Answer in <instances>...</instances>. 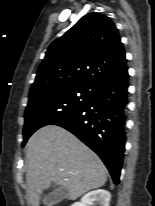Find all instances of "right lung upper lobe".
<instances>
[{
    "label": "right lung upper lobe",
    "instance_id": "1",
    "mask_svg": "<svg viewBox=\"0 0 155 206\" xmlns=\"http://www.w3.org/2000/svg\"><path fill=\"white\" fill-rule=\"evenodd\" d=\"M126 71L125 50L113 21L100 13H89L51 43L30 95L71 85L97 90Z\"/></svg>",
    "mask_w": 155,
    "mask_h": 206
}]
</instances>
